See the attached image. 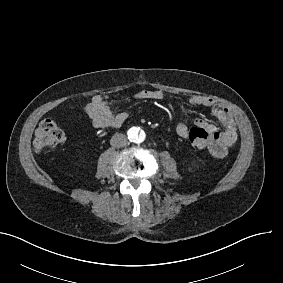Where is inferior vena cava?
<instances>
[{
	"label": "inferior vena cava",
	"instance_id": "obj_1",
	"mask_svg": "<svg viewBox=\"0 0 283 283\" xmlns=\"http://www.w3.org/2000/svg\"><path fill=\"white\" fill-rule=\"evenodd\" d=\"M128 140L124 134H114L110 140V144L116 148H123L127 145Z\"/></svg>",
	"mask_w": 283,
	"mask_h": 283
}]
</instances>
